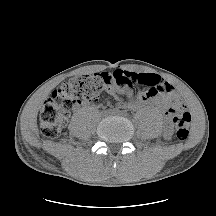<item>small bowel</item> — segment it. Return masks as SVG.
<instances>
[{
    "instance_id": "small-bowel-1",
    "label": "small bowel",
    "mask_w": 216,
    "mask_h": 216,
    "mask_svg": "<svg viewBox=\"0 0 216 216\" xmlns=\"http://www.w3.org/2000/svg\"><path fill=\"white\" fill-rule=\"evenodd\" d=\"M131 75V81L127 86H113L109 93L116 99L118 105L124 106L122 97L134 100L137 104L153 103L160 109L168 112L174 107L181 106L180 96L173 90L172 86L165 82L159 75L153 73L127 72ZM146 86L145 92L138 90V85ZM172 126L167 124L164 136L170 138Z\"/></svg>"
}]
</instances>
